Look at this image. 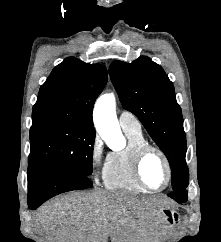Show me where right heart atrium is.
Wrapping results in <instances>:
<instances>
[{"instance_id": "right-heart-atrium-1", "label": "right heart atrium", "mask_w": 221, "mask_h": 242, "mask_svg": "<svg viewBox=\"0 0 221 242\" xmlns=\"http://www.w3.org/2000/svg\"><path fill=\"white\" fill-rule=\"evenodd\" d=\"M103 143L98 135H95L91 141L89 148V161L92 169V174L95 181L98 182V171L104 166L105 160L103 157Z\"/></svg>"}]
</instances>
